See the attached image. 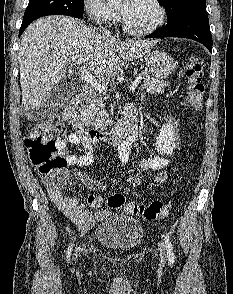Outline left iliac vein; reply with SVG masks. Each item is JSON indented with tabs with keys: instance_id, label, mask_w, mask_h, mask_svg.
<instances>
[{
	"instance_id": "left-iliac-vein-1",
	"label": "left iliac vein",
	"mask_w": 233,
	"mask_h": 294,
	"mask_svg": "<svg viewBox=\"0 0 233 294\" xmlns=\"http://www.w3.org/2000/svg\"><path fill=\"white\" fill-rule=\"evenodd\" d=\"M159 254L160 260L164 264L166 262V247L162 241L159 242Z\"/></svg>"
}]
</instances>
